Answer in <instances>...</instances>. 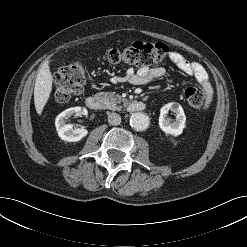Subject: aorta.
<instances>
[{
  "instance_id": "obj_1",
  "label": "aorta",
  "mask_w": 247,
  "mask_h": 247,
  "mask_svg": "<svg viewBox=\"0 0 247 247\" xmlns=\"http://www.w3.org/2000/svg\"><path fill=\"white\" fill-rule=\"evenodd\" d=\"M130 125L136 131H143L149 126V118L144 113H134L130 117Z\"/></svg>"
}]
</instances>
